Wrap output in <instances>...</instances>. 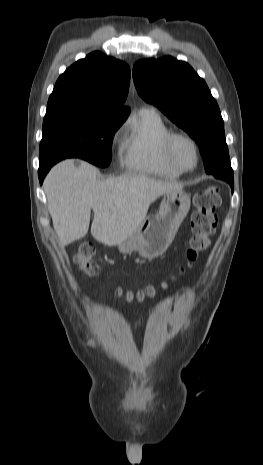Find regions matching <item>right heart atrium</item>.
Returning a JSON list of instances; mask_svg holds the SVG:
<instances>
[{
    "label": "right heart atrium",
    "mask_w": 263,
    "mask_h": 465,
    "mask_svg": "<svg viewBox=\"0 0 263 465\" xmlns=\"http://www.w3.org/2000/svg\"><path fill=\"white\" fill-rule=\"evenodd\" d=\"M119 136H120L119 130L114 131V133L112 134V138H111L113 144H116L118 142Z\"/></svg>",
    "instance_id": "1"
}]
</instances>
